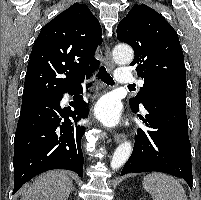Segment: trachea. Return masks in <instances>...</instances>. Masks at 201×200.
<instances>
[{
  "label": "trachea",
  "instance_id": "obj_1",
  "mask_svg": "<svg viewBox=\"0 0 201 200\" xmlns=\"http://www.w3.org/2000/svg\"><path fill=\"white\" fill-rule=\"evenodd\" d=\"M99 78L108 85H114L113 78L109 75V73L106 71L105 67H100L98 71ZM134 87L133 85H129L128 88Z\"/></svg>",
  "mask_w": 201,
  "mask_h": 200
}]
</instances>
